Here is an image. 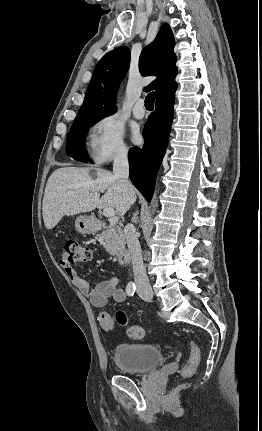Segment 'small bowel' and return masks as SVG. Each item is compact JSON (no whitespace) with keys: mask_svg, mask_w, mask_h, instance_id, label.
<instances>
[{"mask_svg":"<svg viewBox=\"0 0 262 431\" xmlns=\"http://www.w3.org/2000/svg\"><path fill=\"white\" fill-rule=\"evenodd\" d=\"M60 265L72 284L88 298L92 306L103 308L108 304L110 298L117 304L123 303L126 300L125 290L118 287V277H111L90 288L87 281L72 266L64 262L60 263Z\"/></svg>","mask_w":262,"mask_h":431,"instance_id":"c3829d8e","label":"small bowel"}]
</instances>
